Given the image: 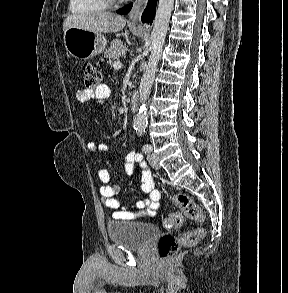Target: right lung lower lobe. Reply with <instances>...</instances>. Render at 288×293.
Listing matches in <instances>:
<instances>
[{"instance_id":"1","label":"right lung lower lobe","mask_w":288,"mask_h":293,"mask_svg":"<svg viewBox=\"0 0 288 293\" xmlns=\"http://www.w3.org/2000/svg\"><path fill=\"white\" fill-rule=\"evenodd\" d=\"M156 2L157 0H149L148 5L142 15V21L145 22H152L155 9H156Z\"/></svg>"}]
</instances>
